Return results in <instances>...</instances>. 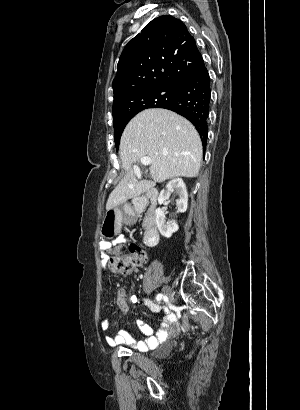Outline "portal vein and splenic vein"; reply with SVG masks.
Instances as JSON below:
<instances>
[{"instance_id":"1","label":"portal vein and splenic vein","mask_w":300,"mask_h":410,"mask_svg":"<svg viewBox=\"0 0 300 410\" xmlns=\"http://www.w3.org/2000/svg\"><path fill=\"white\" fill-rule=\"evenodd\" d=\"M140 161L143 165H149L151 163V159L149 157H143ZM134 171L135 173H140V169L137 166H134Z\"/></svg>"}]
</instances>
